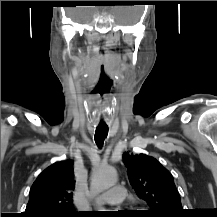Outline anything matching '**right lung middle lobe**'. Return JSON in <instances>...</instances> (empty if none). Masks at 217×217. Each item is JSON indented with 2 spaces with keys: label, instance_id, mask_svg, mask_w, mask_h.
I'll return each mask as SVG.
<instances>
[{
  "label": "right lung middle lobe",
  "instance_id": "right-lung-middle-lobe-1",
  "mask_svg": "<svg viewBox=\"0 0 217 217\" xmlns=\"http://www.w3.org/2000/svg\"><path fill=\"white\" fill-rule=\"evenodd\" d=\"M78 215H64V216H60V217H77Z\"/></svg>",
  "mask_w": 217,
  "mask_h": 217
}]
</instances>
